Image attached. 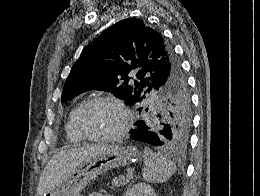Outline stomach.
Segmentation results:
<instances>
[{
	"label": "stomach",
	"mask_w": 260,
	"mask_h": 196,
	"mask_svg": "<svg viewBox=\"0 0 260 196\" xmlns=\"http://www.w3.org/2000/svg\"><path fill=\"white\" fill-rule=\"evenodd\" d=\"M139 158L134 146H106L102 152L74 168L69 180H60V185L67 187H52V191L42 193V196H81L82 190L100 174L113 168L130 166L133 162H138Z\"/></svg>",
	"instance_id": "obj_1"
}]
</instances>
